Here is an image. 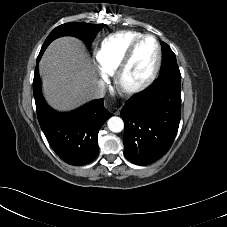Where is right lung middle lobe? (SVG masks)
Returning <instances> with one entry per match:
<instances>
[{
  "label": "right lung middle lobe",
  "instance_id": "dd1d6c3e",
  "mask_svg": "<svg viewBox=\"0 0 227 227\" xmlns=\"http://www.w3.org/2000/svg\"><path fill=\"white\" fill-rule=\"evenodd\" d=\"M103 26L104 25L102 24H88L81 22L62 24L56 27L46 38L39 55L42 56L47 46L53 40L62 36H75L83 41H86L87 43H91L94 40L96 34L102 29Z\"/></svg>",
  "mask_w": 227,
  "mask_h": 227
}]
</instances>
